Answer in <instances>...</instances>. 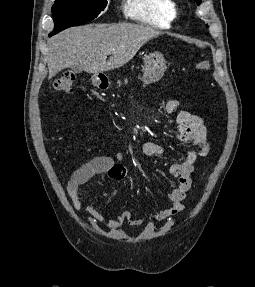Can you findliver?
<instances>
[{
  "label": "liver",
  "mask_w": 255,
  "mask_h": 287,
  "mask_svg": "<svg viewBox=\"0 0 255 287\" xmlns=\"http://www.w3.org/2000/svg\"><path fill=\"white\" fill-rule=\"evenodd\" d=\"M162 32L137 24H88L68 28L47 42L44 52L51 80L64 68L79 64L87 74H102L130 62L152 38ZM106 56H110L106 60Z\"/></svg>",
  "instance_id": "obj_1"
}]
</instances>
